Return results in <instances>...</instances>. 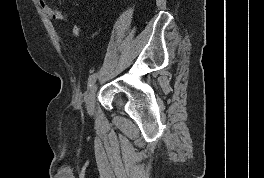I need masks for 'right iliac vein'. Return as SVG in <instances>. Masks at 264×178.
Masks as SVG:
<instances>
[{"mask_svg": "<svg viewBox=\"0 0 264 178\" xmlns=\"http://www.w3.org/2000/svg\"><path fill=\"white\" fill-rule=\"evenodd\" d=\"M96 91H97V84L94 82L90 88L86 100V108L89 114H93L94 111V101H95Z\"/></svg>", "mask_w": 264, "mask_h": 178, "instance_id": "right-iliac-vein-1", "label": "right iliac vein"}]
</instances>
